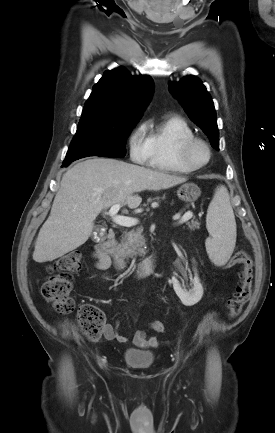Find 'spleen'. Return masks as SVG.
<instances>
[{"label":"spleen","mask_w":275,"mask_h":433,"mask_svg":"<svg viewBox=\"0 0 275 433\" xmlns=\"http://www.w3.org/2000/svg\"><path fill=\"white\" fill-rule=\"evenodd\" d=\"M206 227L210 237L205 246L210 260L222 266L231 257L236 243V222L227 189L220 186L209 204Z\"/></svg>","instance_id":"1"}]
</instances>
